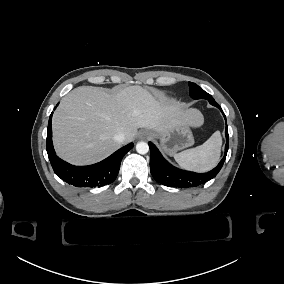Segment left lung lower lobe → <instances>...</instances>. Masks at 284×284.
<instances>
[{"mask_svg":"<svg viewBox=\"0 0 284 284\" xmlns=\"http://www.w3.org/2000/svg\"><path fill=\"white\" fill-rule=\"evenodd\" d=\"M210 104L219 108L226 120L225 114L223 110L221 109V107L215 101L210 102ZM225 135H226L227 142L225 146V154H224L223 159L219 162V164L214 169H212L211 171L207 173H201V174L184 171V170H181V169H178L172 166L170 163H168L163 158V156L161 155L159 150L156 148V146L153 143L149 142L148 144H149L150 152H151L150 171H151L152 176L157 182L163 185L169 186V187L187 188V187H196V186L204 184L208 180H211L212 178H214L223 166V163L225 161L227 151H228V138L229 137H228L227 125H226Z\"/></svg>","mask_w":284,"mask_h":284,"instance_id":"0a47b994","label":"left lung lower lobe"}]
</instances>
